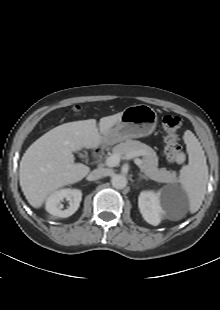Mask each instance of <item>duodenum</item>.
Masks as SVG:
<instances>
[{
	"instance_id": "1",
	"label": "duodenum",
	"mask_w": 220,
	"mask_h": 310,
	"mask_svg": "<svg viewBox=\"0 0 220 310\" xmlns=\"http://www.w3.org/2000/svg\"><path fill=\"white\" fill-rule=\"evenodd\" d=\"M101 151H102V148H101V147H96V148H94L93 151H92V156H93V157L99 156V154L101 153Z\"/></svg>"
}]
</instances>
